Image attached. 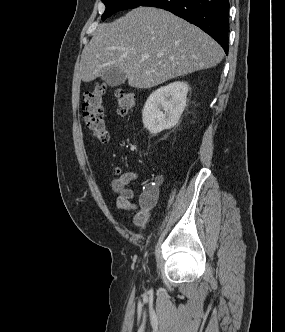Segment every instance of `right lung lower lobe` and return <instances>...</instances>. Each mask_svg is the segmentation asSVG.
I'll list each match as a JSON object with an SVG mask.
<instances>
[{
    "label": "right lung lower lobe",
    "mask_w": 285,
    "mask_h": 332,
    "mask_svg": "<svg viewBox=\"0 0 285 332\" xmlns=\"http://www.w3.org/2000/svg\"><path fill=\"white\" fill-rule=\"evenodd\" d=\"M142 6L162 8L193 23L228 54L229 0H147Z\"/></svg>",
    "instance_id": "1"
}]
</instances>
